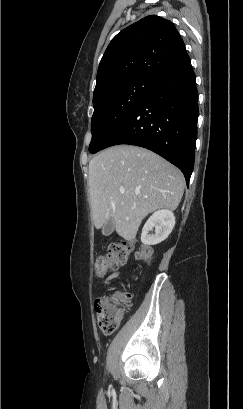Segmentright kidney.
<instances>
[{"label":"right kidney","instance_id":"1","mask_svg":"<svg viewBox=\"0 0 243 409\" xmlns=\"http://www.w3.org/2000/svg\"><path fill=\"white\" fill-rule=\"evenodd\" d=\"M175 226V217L170 210H159L150 216L145 223L141 241L145 245H156L164 241L172 232ZM155 230V234H149L150 231Z\"/></svg>","mask_w":243,"mask_h":409}]
</instances>
